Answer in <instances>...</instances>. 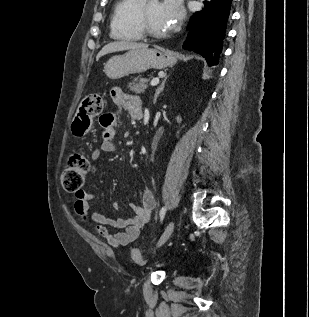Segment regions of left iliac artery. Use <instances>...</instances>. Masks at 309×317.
Instances as JSON below:
<instances>
[{"instance_id":"obj_1","label":"left iliac artery","mask_w":309,"mask_h":317,"mask_svg":"<svg viewBox=\"0 0 309 317\" xmlns=\"http://www.w3.org/2000/svg\"><path fill=\"white\" fill-rule=\"evenodd\" d=\"M166 213V207H162L160 210V220L162 221L164 219Z\"/></svg>"}]
</instances>
